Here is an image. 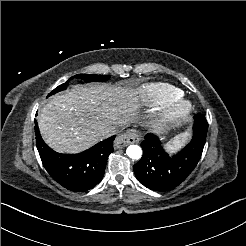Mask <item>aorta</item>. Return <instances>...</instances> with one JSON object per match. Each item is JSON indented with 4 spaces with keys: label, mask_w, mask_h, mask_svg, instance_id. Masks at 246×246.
<instances>
[{
    "label": "aorta",
    "mask_w": 246,
    "mask_h": 246,
    "mask_svg": "<svg viewBox=\"0 0 246 246\" xmlns=\"http://www.w3.org/2000/svg\"><path fill=\"white\" fill-rule=\"evenodd\" d=\"M126 154L132 160H139L142 157V149L138 145H130L126 150Z\"/></svg>",
    "instance_id": "aorta-1"
}]
</instances>
